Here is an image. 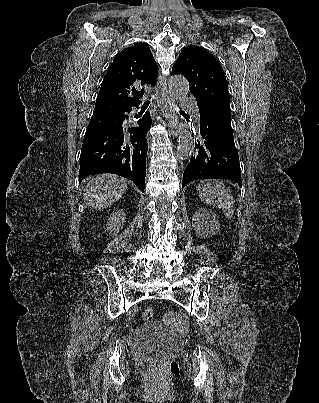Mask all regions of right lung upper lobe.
Returning a JSON list of instances; mask_svg holds the SVG:
<instances>
[{
  "mask_svg": "<svg viewBox=\"0 0 319 403\" xmlns=\"http://www.w3.org/2000/svg\"><path fill=\"white\" fill-rule=\"evenodd\" d=\"M158 66L150 48L137 43L116 55L104 77L95 109L101 113L125 110L138 106L144 89L137 85H155Z\"/></svg>",
  "mask_w": 319,
  "mask_h": 403,
  "instance_id": "1",
  "label": "right lung upper lobe"
}]
</instances>
